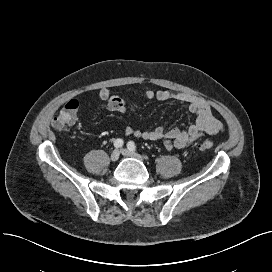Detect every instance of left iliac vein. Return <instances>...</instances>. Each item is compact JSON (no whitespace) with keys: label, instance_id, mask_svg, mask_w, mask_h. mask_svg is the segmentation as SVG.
Masks as SVG:
<instances>
[{"label":"left iliac vein","instance_id":"1","mask_svg":"<svg viewBox=\"0 0 272 272\" xmlns=\"http://www.w3.org/2000/svg\"><path fill=\"white\" fill-rule=\"evenodd\" d=\"M121 153L125 157H131V158H135V159H138V160H141V161L143 160V158L139 154H137L135 152H132V151H130L128 149H121Z\"/></svg>","mask_w":272,"mask_h":272}]
</instances>
